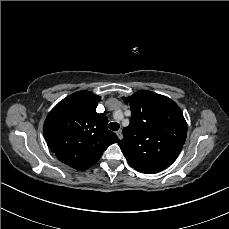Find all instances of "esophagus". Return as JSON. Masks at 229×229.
Segmentation results:
<instances>
[{
	"instance_id": "esophagus-1",
	"label": "esophagus",
	"mask_w": 229,
	"mask_h": 229,
	"mask_svg": "<svg viewBox=\"0 0 229 229\" xmlns=\"http://www.w3.org/2000/svg\"><path fill=\"white\" fill-rule=\"evenodd\" d=\"M116 134H117L118 138H119L120 140H122V138H123L122 130H118V131L116 132Z\"/></svg>"
}]
</instances>
